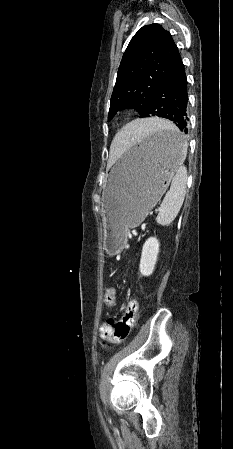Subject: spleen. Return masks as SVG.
Here are the masks:
<instances>
[{
    "label": "spleen",
    "instance_id": "1",
    "mask_svg": "<svg viewBox=\"0 0 233 449\" xmlns=\"http://www.w3.org/2000/svg\"><path fill=\"white\" fill-rule=\"evenodd\" d=\"M166 129H176L173 125H149V133H165ZM148 133V134H149ZM148 134H144V138H148ZM132 142L126 143L119 153L126 151ZM184 157L187 152V141L183 140ZM187 170L183 165H179L175 170L170 190L166 193L161 206L160 212L156 217V222L162 226L171 224L179 213L186 194Z\"/></svg>",
    "mask_w": 233,
    "mask_h": 449
}]
</instances>
